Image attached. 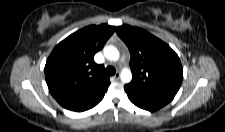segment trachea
I'll list each match as a JSON object with an SVG mask.
<instances>
[{
  "label": "trachea",
  "mask_w": 225,
  "mask_h": 132,
  "mask_svg": "<svg viewBox=\"0 0 225 132\" xmlns=\"http://www.w3.org/2000/svg\"><path fill=\"white\" fill-rule=\"evenodd\" d=\"M115 73H116V70L112 66H108L105 70V74L109 76L114 75Z\"/></svg>",
  "instance_id": "3493384b"
}]
</instances>
